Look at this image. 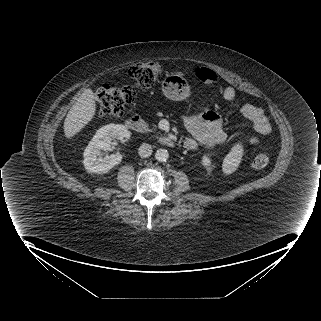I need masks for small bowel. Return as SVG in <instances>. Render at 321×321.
Segmentation results:
<instances>
[{
  "label": "small bowel",
  "mask_w": 321,
  "mask_h": 321,
  "mask_svg": "<svg viewBox=\"0 0 321 321\" xmlns=\"http://www.w3.org/2000/svg\"><path fill=\"white\" fill-rule=\"evenodd\" d=\"M223 96L227 101H234L237 93L234 88L227 87ZM240 113L252 123L258 135H265L271 131V123L262 108L244 103L240 107ZM182 121L189 133V137L185 140V147L190 151L211 149L224 144L227 140L222 118L216 110L210 109L196 115H183ZM259 141L258 136H251L246 140L251 146L257 145Z\"/></svg>",
  "instance_id": "small-bowel-1"
}]
</instances>
